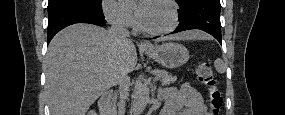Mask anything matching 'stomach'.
Listing matches in <instances>:
<instances>
[{"mask_svg": "<svg viewBox=\"0 0 285 115\" xmlns=\"http://www.w3.org/2000/svg\"><path fill=\"white\" fill-rule=\"evenodd\" d=\"M144 52L163 67L170 69L180 67L189 60V51L179 43L155 45Z\"/></svg>", "mask_w": 285, "mask_h": 115, "instance_id": "obj_1", "label": "stomach"}]
</instances>
